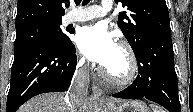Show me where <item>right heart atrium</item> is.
Listing matches in <instances>:
<instances>
[{
	"label": "right heart atrium",
	"mask_w": 193,
	"mask_h": 112,
	"mask_svg": "<svg viewBox=\"0 0 193 112\" xmlns=\"http://www.w3.org/2000/svg\"><path fill=\"white\" fill-rule=\"evenodd\" d=\"M77 68L82 72H87L89 69V64L84 57H79L77 60Z\"/></svg>",
	"instance_id": "obj_1"
}]
</instances>
